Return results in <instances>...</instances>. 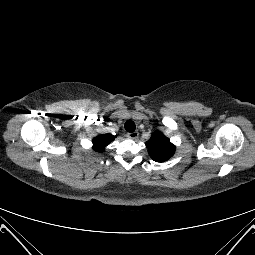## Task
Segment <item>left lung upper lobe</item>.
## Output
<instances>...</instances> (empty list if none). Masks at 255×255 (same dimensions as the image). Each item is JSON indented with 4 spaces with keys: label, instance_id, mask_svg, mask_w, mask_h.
Masks as SVG:
<instances>
[{
    "label": "left lung upper lobe",
    "instance_id": "5c2ea615",
    "mask_svg": "<svg viewBox=\"0 0 255 255\" xmlns=\"http://www.w3.org/2000/svg\"><path fill=\"white\" fill-rule=\"evenodd\" d=\"M148 153L156 162H164L171 158L175 152V146L163 133L156 131L146 142Z\"/></svg>",
    "mask_w": 255,
    "mask_h": 255
}]
</instances>
